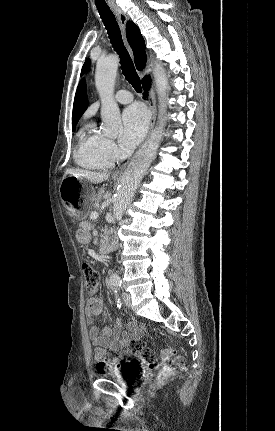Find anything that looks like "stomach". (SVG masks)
<instances>
[{
  "mask_svg": "<svg viewBox=\"0 0 275 431\" xmlns=\"http://www.w3.org/2000/svg\"><path fill=\"white\" fill-rule=\"evenodd\" d=\"M60 196L68 214L76 220H82L90 211L95 191L86 186L82 178L69 175L60 184Z\"/></svg>",
  "mask_w": 275,
  "mask_h": 431,
  "instance_id": "1",
  "label": "stomach"
}]
</instances>
